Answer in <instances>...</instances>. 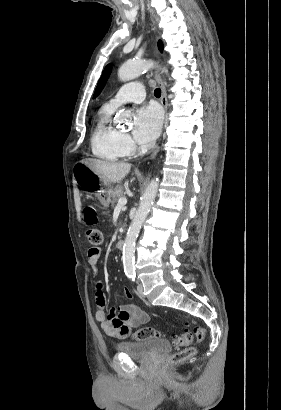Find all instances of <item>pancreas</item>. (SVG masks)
<instances>
[{"mask_svg": "<svg viewBox=\"0 0 281 410\" xmlns=\"http://www.w3.org/2000/svg\"><path fill=\"white\" fill-rule=\"evenodd\" d=\"M124 194V186L123 185H117L113 190H112V201H111V205L112 207H114L116 205V203L118 202V200L123 197Z\"/></svg>", "mask_w": 281, "mask_h": 410, "instance_id": "1", "label": "pancreas"}]
</instances>
